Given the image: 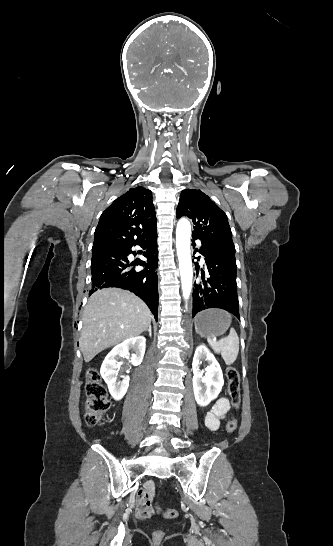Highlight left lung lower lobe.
<instances>
[{"label": "left lung lower lobe", "instance_id": "obj_1", "mask_svg": "<svg viewBox=\"0 0 333 546\" xmlns=\"http://www.w3.org/2000/svg\"><path fill=\"white\" fill-rule=\"evenodd\" d=\"M192 237L194 240H201L200 253L204 256L206 273L209 275L205 279L204 271H202V280L194 283L192 317L204 309L220 308L232 313L240 320L235 255L197 235ZM226 263L229 267L228 271L217 272V265ZM196 271H199V266L196 267Z\"/></svg>", "mask_w": 333, "mask_h": 546}]
</instances>
